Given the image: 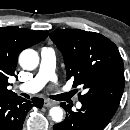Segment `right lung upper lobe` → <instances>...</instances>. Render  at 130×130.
Returning a JSON list of instances; mask_svg holds the SVG:
<instances>
[{
    "label": "right lung upper lobe",
    "instance_id": "1",
    "mask_svg": "<svg viewBox=\"0 0 130 130\" xmlns=\"http://www.w3.org/2000/svg\"><path fill=\"white\" fill-rule=\"evenodd\" d=\"M48 34L15 26L0 27V96L15 94L7 86L9 76L15 75L19 53L44 40Z\"/></svg>",
    "mask_w": 130,
    "mask_h": 130
}]
</instances>
